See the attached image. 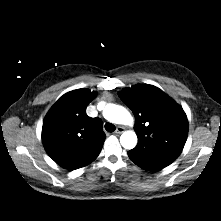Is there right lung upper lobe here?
Instances as JSON below:
<instances>
[{"label":"right lung upper lobe","mask_w":221,"mask_h":221,"mask_svg":"<svg viewBox=\"0 0 221 221\" xmlns=\"http://www.w3.org/2000/svg\"><path fill=\"white\" fill-rule=\"evenodd\" d=\"M96 92L77 89L64 94L47 113L42 142L48 155L61 167L75 170L94 161L106 138L100 118L86 114Z\"/></svg>","instance_id":"right-lung-upper-lobe-1"}]
</instances>
